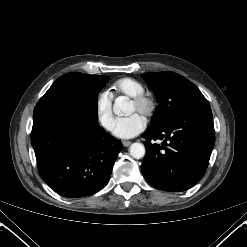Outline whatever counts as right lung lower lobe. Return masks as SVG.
I'll list each match as a JSON object with an SVG mask.
<instances>
[{"mask_svg":"<svg viewBox=\"0 0 247 247\" xmlns=\"http://www.w3.org/2000/svg\"><path fill=\"white\" fill-rule=\"evenodd\" d=\"M31 143L42 179L68 198L101 190L122 149L121 141L98 124L97 100L61 95L37 103Z\"/></svg>","mask_w":247,"mask_h":247,"instance_id":"98d812e1","label":"right lung lower lobe"}]
</instances>
